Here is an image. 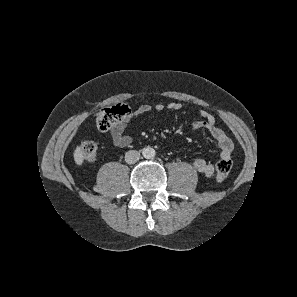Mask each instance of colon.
Segmentation results:
<instances>
[{
    "mask_svg": "<svg viewBox=\"0 0 297 297\" xmlns=\"http://www.w3.org/2000/svg\"><path fill=\"white\" fill-rule=\"evenodd\" d=\"M130 113L127 105L118 104L109 108L102 109L96 117L97 127L101 131H109L114 124L125 118ZM83 158L92 161L97 158L98 146L93 141H85L81 145ZM232 168L231 159H221L216 164V180L222 182L225 180Z\"/></svg>",
    "mask_w": 297,
    "mask_h": 297,
    "instance_id": "1",
    "label": "colon"
}]
</instances>
